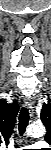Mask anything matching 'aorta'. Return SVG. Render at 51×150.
<instances>
[{
  "label": "aorta",
  "mask_w": 51,
  "mask_h": 150,
  "mask_svg": "<svg viewBox=\"0 0 51 150\" xmlns=\"http://www.w3.org/2000/svg\"><path fill=\"white\" fill-rule=\"evenodd\" d=\"M45 132V127L42 124H32L27 129V135L30 137L44 136Z\"/></svg>",
  "instance_id": "aorta-1"
}]
</instances>
